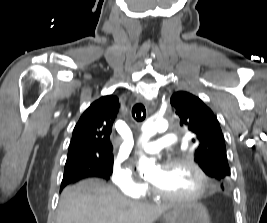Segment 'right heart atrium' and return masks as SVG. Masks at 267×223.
Masks as SVG:
<instances>
[{
	"label": "right heart atrium",
	"mask_w": 267,
	"mask_h": 223,
	"mask_svg": "<svg viewBox=\"0 0 267 223\" xmlns=\"http://www.w3.org/2000/svg\"><path fill=\"white\" fill-rule=\"evenodd\" d=\"M111 178L119 192L126 196L139 198L147 190L146 184L135 177L132 167L120 161L114 164Z\"/></svg>",
	"instance_id": "d8ad5b80"
}]
</instances>
